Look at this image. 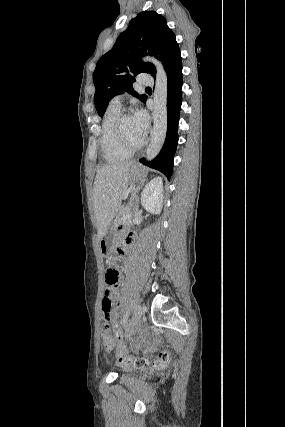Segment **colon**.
<instances>
[{
	"label": "colon",
	"instance_id": "5ec220e1",
	"mask_svg": "<svg viewBox=\"0 0 285 427\" xmlns=\"http://www.w3.org/2000/svg\"><path fill=\"white\" fill-rule=\"evenodd\" d=\"M119 280V272L115 267H108L105 271L106 292L109 293L114 289ZM118 314L110 312L105 316V323L102 326L101 338L107 349L112 350L115 343L120 338V328L117 322ZM117 360L124 365H132L135 368H143L147 364V360L141 357H130L123 353L117 354ZM172 360V355L169 351L162 352L154 362L156 369L167 367Z\"/></svg>",
	"mask_w": 285,
	"mask_h": 427
}]
</instances>
